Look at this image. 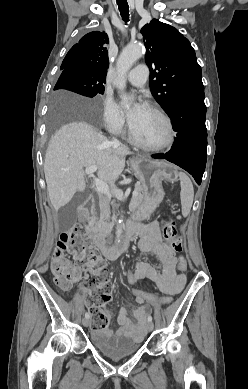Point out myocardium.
Returning a JSON list of instances; mask_svg holds the SVG:
<instances>
[{
    "instance_id": "f54148a6",
    "label": "myocardium",
    "mask_w": 248,
    "mask_h": 389,
    "mask_svg": "<svg viewBox=\"0 0 248 389\" xmlns=\"http://www.w3.org/2000/svg\"><path fill=\"white\" fill-rule=\"evenodd\" d=\"M145 108H147L150 111L157 114L164 121V123L167 127L166 139L163 142H161L160 144H156V145L145 144L136 138V136L134 135V133L132 131L131 124H130L129 131H128L130 141L134 145H136L137 147H139L145 151H149V152H158V151H162V150L170 147L174 143V140H175V129H174V125H173L171 118L160 107H158L154 104L149 103L146 105Z\"/></svg>"
}]
</instances>
